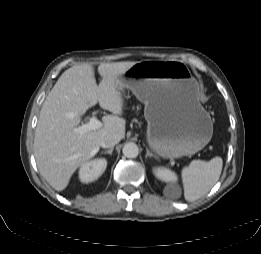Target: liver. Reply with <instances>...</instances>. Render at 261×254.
Returning a JSON list of instances; mask_svg holds the SVG:
<instances>
[{
	"instance_id": "6515ba94",
	"label": "liver",
	"mask_w": 261,
	"mask_h": 254,
	"mask_svg": "<svg viewBox=\"0 0 261 254\" xmlns=\"http://www.w3.org/2000/svg\"><path fill=\"white\" fill-rule=\"evenodd\" d=\"M136 63H101L99 86L92 65H75L60 76L46 97L35 131L34 155L40 173L56 191L64 190L77 168L98 153L105 136L125 137L126 120L119 116L124 102L119 77ZM97 103L113 114L102 117L100 129L76 133L81 116Z\"/></svg>"
}]
</instances>
